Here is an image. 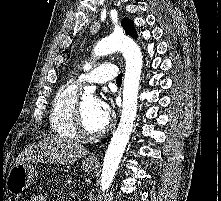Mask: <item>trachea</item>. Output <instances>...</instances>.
<instances>
[{"mask_svg": "<svg viewBox=\"0 0 221 201\" xmlns=\"http://www.w3.org/2000/svg\"><path fill=\"white\" fill-rule=\"evenodd\" d=\"M117 84H121L122 83V74H119L116 80Z\"/></svg>", "mask_w": 221, "mask_h": 201, "instance_id": "obj_1", "label": "trachea"}]
</instances>
